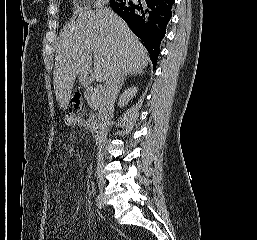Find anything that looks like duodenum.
Listing matches in <instances>:
<instances>
[{
  "label": "duodenum",
  "mask_w": 257,
  "mask_h": 240,
  "mask_svg": "<svg viewBox=\"0 0 257 240\" xmlns=\"http://www.w3.org/2000/svg\"><path fill=\"white\" fill-rule=\"evenodd\" d=\"M106 126L101 120H96L92 126V135L95 143L101 146L106 137Z\"/></svg>",
  "instance_id": "duodenum-1"
}]
</instances>
